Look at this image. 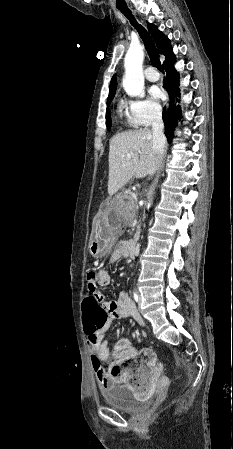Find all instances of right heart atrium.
Returning <instances> with one entry per match:
<instances>
[{
	"label": "right heart atrium",
	"instance_id": "obj_1",
	"mask_svg": "<svg viewBox=\"0 0 233 449\" xmlns=\"http://www.w3.org/2000/svg\"><path fill=\"white\" fill-rule=\"evenodd\" d=\"M131 110L138 124L143 126H148L161 117L160 105L150 98H142L131 102Z\"/></svg>",
	"mask_w": 233,
	"mask_h": 449
}]
</instances>
